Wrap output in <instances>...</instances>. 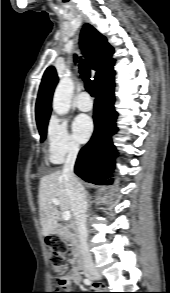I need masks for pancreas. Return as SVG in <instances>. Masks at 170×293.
Instances as JSON below:
<instances>
[{"label":"pancreas","mask_w":170,"mask_h":293,"mask_svg":"<svg viewBox=\"0 0 170 293\" xmlns=\"http://www.w3.org/2000/svg\"><path fill=\"white\" fill-rule=\"evenodd\" d=\"M61 238L69 243V246H72V252L75 255L79 247L77 235L73 232L65 231L61 234Z\"/></svg>","instance_id":"1"}]
</instances>
